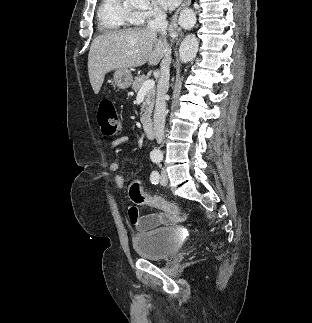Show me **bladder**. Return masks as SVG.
I'll return each mask as SVG.
<instances>
[{"label":"bladder","mask_w":312,"mask_h":323,"mask_svg":"<svg viewBox=\"0 0 312 323\" xmlns=\"http://www.w3.org/2000/svg\"><path fill=\"white\" fill-rule=\"evenodd\" d=\"M179 239L174 227L154 229L133 238V247L140 257L150 260L171 257L177 252Z\"/></svg>","instance_id":"31cf9c89"}]
</instances>
